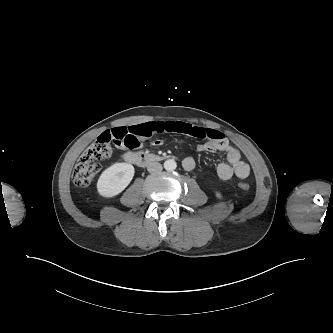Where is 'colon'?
Segmentation results:
<instances>
[{
  "instance_id": "obj_1",
  "label": "colon",
  "mask_w": 333,
  "mask_h": 333,
  "mask_svg": "<svg viewBox=\"0 0 333 333\" xmlns=\"http://www.w3.org/2000/svg\"><path fill=\"white\" fill-rule=\"evenodd\" d=\"M111 155L110 142L98 138L78 159L72 175L74 183L78 186L89 185L99 172L101 161L109 159ZM239 187L245 191L249 189V185L245 182H240Z\"/></svg>"
}]
</instances>
